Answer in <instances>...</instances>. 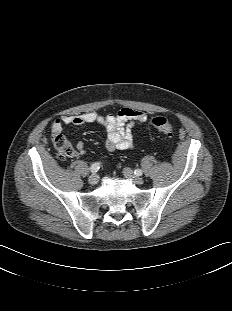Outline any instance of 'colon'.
Here are the masks:
<instances>
[{"mask_svg":"<svg viewBox=\"0 0 232 311\" xmlns=\"http://www.w3.org/2000/svg\"><path fill=\"white\" fill-rule=\"evenodd\" d=\"M152 125L168 137L174 135V128L165 117L158 116L153 118ZM53 143L62 158L72 157L75 154L74 147L62 134L54 135Z\"/></svg>","mask_w":232,"mask_h":311,"instance_id":"colon-1","label":"colon"}]
</instances>
